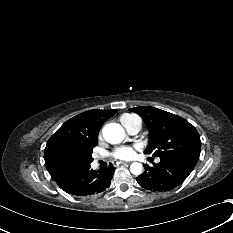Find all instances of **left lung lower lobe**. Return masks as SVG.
Segmentation results:
<instances>
[{
  "label": "left lung lower lobe",
  "mask_w": 233,
  "mask_h": 233,
  "mask_svg": "<svg viewBox=\"0 0 233 233\" xmlns=\"http://www.w3.org/2000/svg\"><path fill=\"white\" fill-rule=\"evenodd\" d=\"M145 171L136 178L138 184L151 191L164 192L180 185L192 172L188 166L170 157H160V162L150 167L144 165Z\"/></svg>",
  "instance_id": "left-lung-lower-lobe-1"
}]
</instances>
